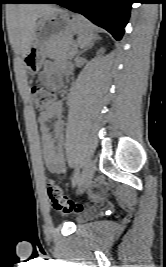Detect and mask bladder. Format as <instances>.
I'll return each instance as SVG.
<instances>
[{"label":"bladder","mask_w":166,"mask_h":267,"mask_svg":"<svg viewBox=\"0 0 166 267\" xmlns=\"http://www.w3.org/2000/svg\"><path fill=\"white\" fill-rule=\"evenodd\" d=\"M91 217L90 213H85L83 215H81L80 217L77 218L78 222H84L86 220H88Z\"/></svg>","instance_id":"bladder-1"}]
</instances>
